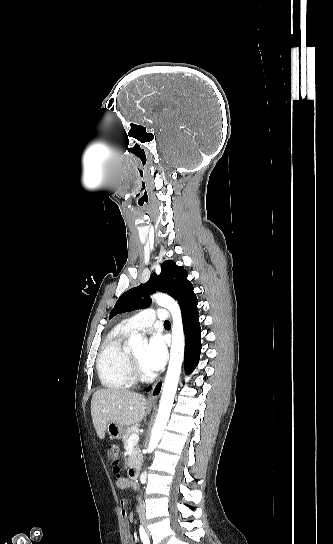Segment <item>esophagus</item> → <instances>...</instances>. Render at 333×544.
Returning <instances> with one entry per match:
<instances>
[{
    "label": "esophagus",
    "mask_w": 333,
    "mask_h": 544,
    "mask_svg": "<svg viewBox=\"0 0 333 544\" xmlns=\"http://www.w3.org/2000/svg\"><path fill=\"white\" fill-rule=\"evenodd\" d=\"M162 387H163V379L158 380L157 382L154 383V385L152 386L149 392L148 399H147V402L149 404L156 403L157 399L159 398L161 394Z\"/></svg>",
    "instance_id": "esophagus-1"
}]
</instances>
